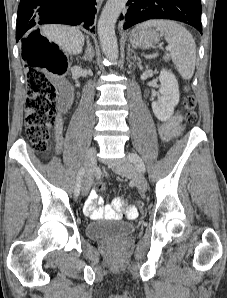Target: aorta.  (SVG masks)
Masks as SVG:
<instances>
[{
  "label": "aorta",
  "mask_w": 227,
  "mask_h": 298,
  "mask_svg": "<svg viewBox=\"0 0 227 298\" xmlns=\"http://www.w3.org/2000/svg\"><path fill=\"white\" fill-rule=\"evenodd\" d=\"M126 3L127 0H107L98 21L100 45L103 53L111 60L118 59L115 24Z\"/></svg>",
  "instance_id": "obj_1"
}]
</instances>
